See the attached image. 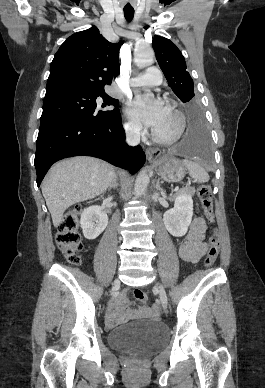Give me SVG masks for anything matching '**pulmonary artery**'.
<instances>
[{"label":"pulmonary artery","mask_w":265,"mask_h":388,"mask_svg":"<svg viewBox=\"0 0 265 388\" xmlns=\"http://www.w3.org/2000/svg\"><path fill=\"white\" fill-rule=\"evenodd\" d=\"M158 74V69H154V66L149 64L147 66L146 75H141L140 78L136 75H133L131 80L136 86H159L161 81Z\"/></svg>","instance_id":"obj_1"}]
</instances>
